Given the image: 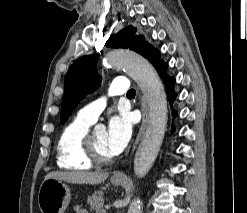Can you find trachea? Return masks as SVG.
<instances>
[{"mask_svg": "<svg viewBox=\"0 0 247 213\" xmlns=\"http://www.w3.org/2000/svg\"><path fill=\"white\" fill-rule=\"evenodd\" d=\"M132 94H135V90L134 89H131L127 92V95H132Z\"/></svg>", "mask_w": 247, "mask_h": 213, "instance_id": "1", "label": "trachea"}]
</instances>
